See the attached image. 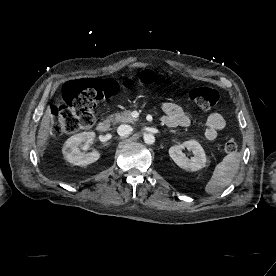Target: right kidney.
<instances>
[{
	"label": "right kidney",
	"instance_id": "1",
	"mask_svg": "<svg viewBox=\"0 0 276 276\" xmlns=\"http://www.w3.org/2000/svg\"><path fill=\"white\" fill-rule=\"evenodd\" d=\"M94 137V132H82L67 139L62 148L64 159L78 166H86L97 161L100 158V153L98 151L90 153H83L80 151L81 143H89Z\"/></svg>",
	"mask_w": 276,
	"mask_h": 276
}]
</instances>
